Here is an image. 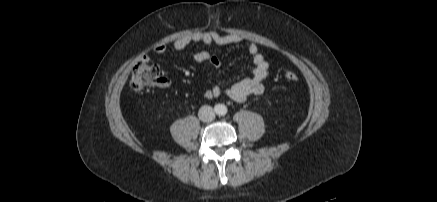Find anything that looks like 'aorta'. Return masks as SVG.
<instances>
[{
  "label": "aorta",
  "instance_id": "762f6f07",
  "mask_svg": "<svg viewBox=\"0 0 437 202\" xmlns=\"http://www.w3.org/2000/svg\"><path fill=\"white\" fill-rule=\"evenodd\" d=\"M216 112L219 115H225L227 113V107L224 104H220L216 107Z\"/></svg>",
  "mask_w": 437,
  "mask_h": 202
}]
</instances>
